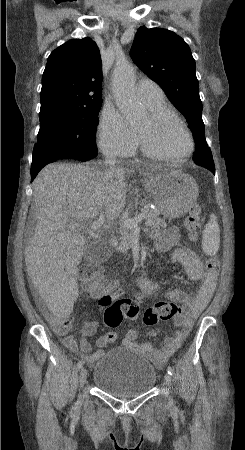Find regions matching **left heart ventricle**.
<instances>
[{
    "instance_id": "b2bd125f",
    "label": "left heart ventricle",
    "mask_w": 245,
    "mask_h": 450,
    "mask_svg": "<svg viewBox=\"0 0 245 450\" xmlns=\"http://www.w3.org/2000/svg\"><path fill=\"white\" fill-rule=\"evenodd\" d=\"M151 149L168 156H177L189 150V140L182 128L170 119L159 124L150 115L137 127Z\"/></svg>"
}]
</instances>
